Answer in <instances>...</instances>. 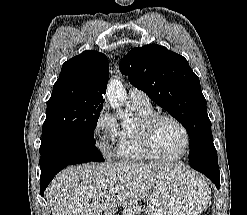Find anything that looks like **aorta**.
<instances>
[{
	"label": "aorta",
	"instance_id": "1",
	"mask_svg": "<svg viewBox=\"0 0 247 215\" xmlns=\"http://www.w3.org/2000/svg\"><path fill=\"white\" fill-rule=\"evenodd\" d=\"M106 97L110 103V106L114 110L116 109L119 119H122L123 124H125L128 118L122 113L120 108L126 101L127 95L119 76L110 79L107 85Z\"/></svg>",
	"mask_w": 247,
	"mask_h": 215
}]
</instances>
